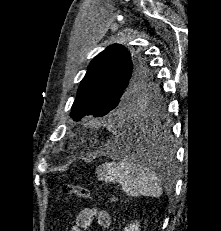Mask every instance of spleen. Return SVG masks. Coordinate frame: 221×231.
I'll list each match as a JSON object with an SVG mask.
<instances>
[{
	"label": "spleen",
	"instance_id": "spleen-1",
	"mask_svg": "<svg viewBox=\"0 0 221 231\" xmlns=\"http://www.w3.org/2000/svg\"><path fill=\"white\" fill-rule=\"evenodd\" d=\"M96 173L100 180L120 184L129 196L159 197L162 194L159 178L147 167L129 158L104 163Z\"/></svg>",
	"mask_w": 221,
	"mask_h": 231
}]
</instances>
